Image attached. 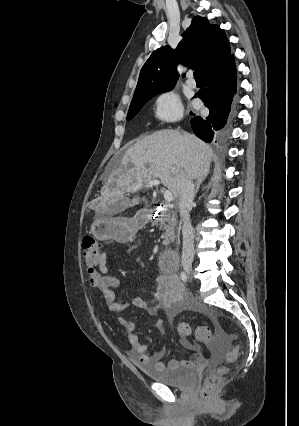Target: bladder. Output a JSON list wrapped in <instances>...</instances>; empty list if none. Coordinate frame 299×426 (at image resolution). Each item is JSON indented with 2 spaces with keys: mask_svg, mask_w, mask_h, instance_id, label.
Wrapping results in <instances>:
<instances>
[{
  "mask_svg": "<svg viewBox=\"0 0 299 426\" xmlns=\"http://www.w3.org/2000/svg\"><path fill=\"white\" fill-rule=\"evenodd\" d=\"M139 368L150 379L179 389H188L197 381V373L193 369H159L146 363H139Z\"/></svg>",
  "mask_w": 299,
  "mask_h": 426,
  "instance_id": "1",
  "label": "bladder"
}]
</instances>
